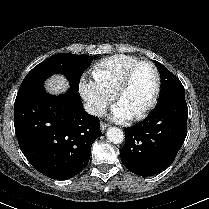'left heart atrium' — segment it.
<instances>
[{"label": "left heart atrium", "instance_id": "obj_1", "mask_svg": "<svg viewBox=\"0 0 209 209\" xmlns=\"http://www.w3.org/2000/svg\"><path fill=\"white\" fill-rule=\"evenodd\" d=\"M132 113L125 109L119 103L114 107L111 118L117 122H124L132 118Z\"/></svg>", "mask_w": 209, "mask_h": 209}]
</instances>
